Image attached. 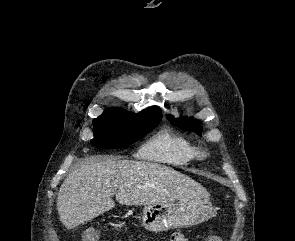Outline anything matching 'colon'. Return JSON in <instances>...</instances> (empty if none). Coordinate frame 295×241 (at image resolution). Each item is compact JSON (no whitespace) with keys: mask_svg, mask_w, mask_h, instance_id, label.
Listing matches in <instances>:
<instances>
[{"mask_svg":"<svg viewBox=\"0 0 295 241\" xmlns=\"http://www.w3.org/2000/svg\"><path fill=\"white\" fill-rule=\"evenodd\" d=\"M84 241H98V232L95 229H89L84 235ZM171 241H187L183 235L176 233L171 237ZM208 241H223L222 238L214 236L208 239Z\"/></svg>","mask_w":295,"mask_h":241,"instance_id":"1","label":"colon"}]
</instances>
